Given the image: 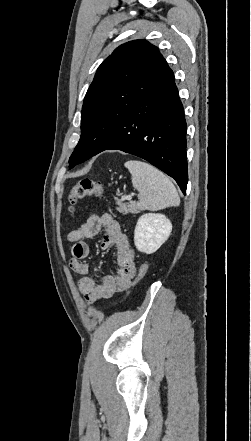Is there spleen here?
Returning <instances> with one entry per match:
<instances>
[{
  "label": "spleen",
  "instance_id": "3e777b00",
  "mask_svg": "<svg viewBox=\"0 0 251 441\" xmlns=\"http://www.w3.org/2000/svg\"><path fill=\"white\" fill-rule=\"evenodd\" d=\"M124 165L131 173L133 187L139 191L143 209L160 210L180 204L175 186L160 170L139 160H129Z\"/></svg>",
  "mask_w": 251,
  "mask_h": 441
}]
</instances>
